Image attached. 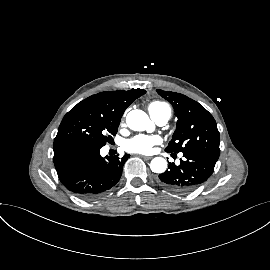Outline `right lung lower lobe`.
<instances>
[{
    "label": "right lung lower lobe",
    "instance_id": "1",
    "mask_svg": "<svg viewBox=\"0 0 270 270\" xmlns=\"http://www.w3.org/2000/svg\"><path fill=\"white\" fill-rule=\"evenodd\" d=\"M54 165L61 183L76 195L90 199L113 187L120 179L125 154L101 157L100 147L75 141H56L53 145Z\"/></svg>",
    "mask_w": 270,
    "mask_h": 270
}]
</instances>
